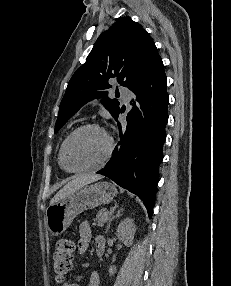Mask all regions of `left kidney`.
Returning a JSON list of instances; mask_svg holds the SVG:
<instances>
[{
  "instance_id": "obj_1",
  "label": "left kidney",
  "mask_w": 231,
  "mask_h": 286,
  "mask_svg": "<svg viewBox=\"0 0 231 286\" xmlns=\"http://www.w3.org/2000/svg\"><path fill=\"white\" fill-rule=\"evenodd\" d=\"M135 225L133 223V220L130 218L123 219L116 230V235L120 241H122L125 245H130L132 243V240L134 238L135 234ZM116 272L115 266H110L109 268V274L113 275Z\"/></svg>"
}]
</instances>
